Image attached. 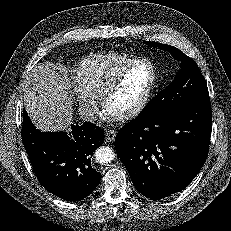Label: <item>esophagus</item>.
<instances>
[{
    "instance_id": "1",
    "label": "esophagus",
    "mask_w": 231,
    "mask_h": 231,
    "mask_svg": "<svg viewBox=\"0 0 231 231\" xmlns=\"http://www.w3.org/2000/svg\"><path fill=\"white\" fill-rule=\"evenodd\" d=\"M116 131L112 129L105 130V138L108 142H112L115 139Z\"/></svg>"
}]
</instances>
